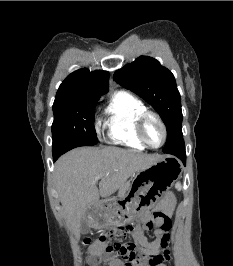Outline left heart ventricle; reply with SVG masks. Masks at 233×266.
I'll use <instances>...</instances> for the list:
<instances>
[{
	"mask_svg": "<svg viewBox=\"0 0 233 266\" xmlns=\"http://www.w3.org/2000/svg\"><path fill=\"white\" fill-rule=\"evenodd\" d=\"M145 136L148 142L157 146L161 143L163 138V131L160 124L154 118H149L145 124Z\"/></svg>",
	"mask_w": 233,
	"mask_h": 266,
	"instance_id": "b2bd125f",
	"label": "left heart ventricle"
}]
</instances>
